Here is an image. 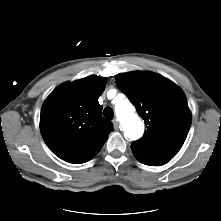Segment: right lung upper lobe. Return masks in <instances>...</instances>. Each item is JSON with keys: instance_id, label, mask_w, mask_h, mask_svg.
Instances as JSON below:
<instances>
[{"instance_id": "obj_1", "label": "right lung upper lobe", "mask_w": 221, "mask_h": 221, "mask_svg": "<svg viewBox=\"0 0 221 221\" xmlns=\"http://www.w3.org/2000/svg\"><path fill=\"white\" fill-rule=\"evenodd\" d=\"M106 79L94 75L58 86L45 100L40 117L42 137L59 158L75 164L92 159L112 132L98 102Z\"/></svg>"}]
</instances>
